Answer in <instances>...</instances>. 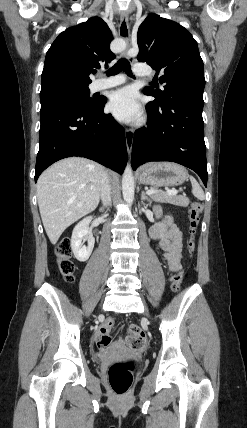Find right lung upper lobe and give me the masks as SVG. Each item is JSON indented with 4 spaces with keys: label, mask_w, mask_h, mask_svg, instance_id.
Instances as JSON below:
<instances>
[{
    "label": "right lung upper lobe",
    "mask_w": 247,
    "mask_h": 428,
    "mask_svg": "<svg viewBox=\"0 0 247 428\" xmlns=\"http://www.w3.org/2000/svg\"><path fill=\"white\" fill-rule=\"evenodd\" d=\"M112 33L99 17H92L62 32L46 53L41 92L66 86H87L93 68L107 67L115 58Z\"/></svg>",
    "instance_id": "1"
}]
</instances>
